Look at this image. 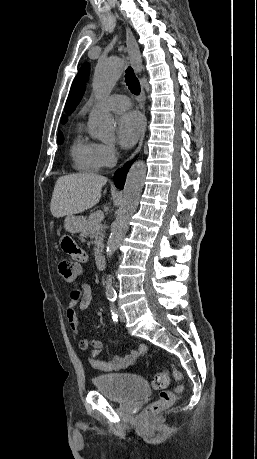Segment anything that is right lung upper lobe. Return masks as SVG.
Masks as SVG:
<instances>
[{
    "label": "right lung upper lobe",
    "mask_w": 257,
    "mask_h": 459,
    "mask_svg": "<svg viewBox=\"0 0 257 459\" xmlns=\"http://www.w3.org/2000/svg\"><path fill=\"white\" fill-rule=\"evenodd\" d=\"M61 123L62 124H65L66 123V118L63 116L62 119H61ZM61 131H59L58 133H60Z\"/></svg>",
    "instance_id": "right-lung-upper-lobe-1"
}]
</instances>
